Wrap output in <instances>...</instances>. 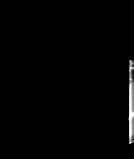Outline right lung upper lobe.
Segmentation results:
<instances>
[{
	"label": "right lung upper lobe",
	"mask_w": 134,
	"mask_h": 159,
	"mask_svg": "<svg viewBox=\"0 0 134 159\" xmlns=\"http://www.w3.org/2000/svg\"><path fill=\"white\" fill-rule=\"evenodd\" d=\"M34 92V94H31V95H27L25 98H23V104H25V105H30V104H32L33 103V101H34V97H37L38 95H39V92L37 91V90H33Z\"/></svg>",
	"instance_id": "cb5924a9"
}]
</instances>
